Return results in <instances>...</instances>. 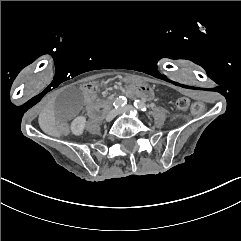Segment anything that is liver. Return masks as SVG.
<instances>
[{
  "instance_id": "obj_1",
  "label": "liver",
  "mask_w": 241,
  "mask_h": 241,
  "mask_svg": "<svg viewBox=\"0 0 241 241\" xmlns=\"http://www.w3.org/2000/svg\"><path fill=\"white\" fill-rule=\"evenodd\" d=\"M39 126L44 133L57 138L61 137V133L57 128L56 118L53 109L47 108L44 112L40 114Z\"/></svg>"
}]
</instances>
